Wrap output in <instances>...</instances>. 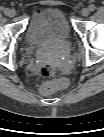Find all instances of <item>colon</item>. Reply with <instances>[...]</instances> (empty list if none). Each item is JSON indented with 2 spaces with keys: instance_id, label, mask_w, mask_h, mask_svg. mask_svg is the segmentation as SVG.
I'll return each instance as SVG.
<instances>
[{
  "instance_id": "obj_1",
  "label": "colon",
  "mask_w": 104,
  "mask_h": 137,
  "mask_svg": "<svg viewBox=\"0 0 104 137\" xmlns=\"http://www.w3.org/2000/svg\"><path fill=\"white\" fill-rule=\"evenodd\" d=\"M41 74L45 77L53 76L55 74V69L52 66L45 65L41 68ZM60 87H61L60 82H49L44 84L40 88V93L42 95L47 96L57 91Z\"/></svg>"
}]
</instances>
